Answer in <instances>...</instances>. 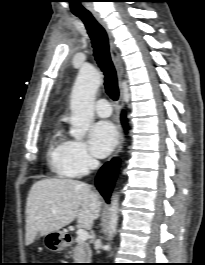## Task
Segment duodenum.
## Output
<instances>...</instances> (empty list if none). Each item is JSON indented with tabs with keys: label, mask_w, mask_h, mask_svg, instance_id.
<instances>
[{
	"label": "duodenum",
	"mask_w": 205,
	"mask_h": 265,
	"mask_svg": "<svg viewBox=\"0 0 205 265\" xmlns=\"http://www.w3.org/2000/svg\"><path fill=\"white\" fill-rule=\"evenodd\" d=\"M63 240H64V242H65L66 244H71V242H72V238H71L70 235H65V236L63 237Z\"/></svg>",
	"instance_id": "duodenum-1"
}]
</instances>
